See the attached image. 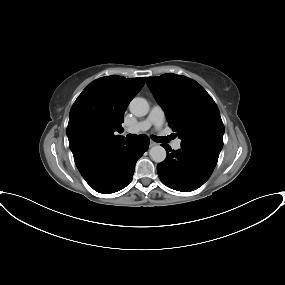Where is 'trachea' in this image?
<instances>
[{
  "instance_id": "3493384b",
  "label": "trachea",
  "mask_w": 285,
  "mask_h": 285,
  "mask_svg": "<svg viewBox=\"0 0 285 285\" xmlns=\"http://www.w3.org/2000/svg\"><path fill=\"white\" fill-rule=\"evenodd\" d=\"M127 139L133 140V139H135V135L128 134ZM152 139L156 142H165L167 138L153 136Z\"/></svg>"
}]
</instances>
